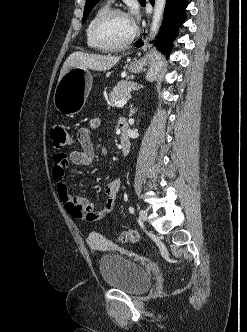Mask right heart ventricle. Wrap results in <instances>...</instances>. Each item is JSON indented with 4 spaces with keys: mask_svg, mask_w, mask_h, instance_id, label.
I'll return each mask as SVG.
<instances>
[{
    "mask_svg": "<svg viewBox=\"0 0 247 332\" xmlns=\"http://www.w3.org/2000/svg\"><path fill=\"white\" fill-rule=\"evenodd\" d=\"M108 4H103L100 7H98L94 13L91 15L90 19L87 22L86 28H85V36H86V43L89 48L93 50L103 51V49L97 42L94 40L92 36V25L94 21L108 9Z\"/></svg>",
    "mask_w": 247,
    "mask_h": 332,
    "instance_id": "obj_1",
    "label": "right heart ventricle"
}]
</instances>
